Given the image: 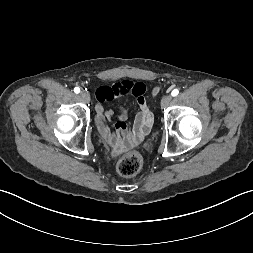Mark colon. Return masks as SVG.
<instances>
[{
    "mask_svg": "<svg viewBox=\"0 0 253 253\" xmlns=\"http://www.w3.org/2000/svg\"><path fill=\"white\" fill-rule=\"evenodd\" d=\"M142 167V159L136 153H128L117 161V171L120 175L130 177L136 175Z\"/></svg>",
    "mask_w": 253,
    "mask_h": 253,
    "instance_id": "colon-1",
    "label": "colon"
}]
</instances>
